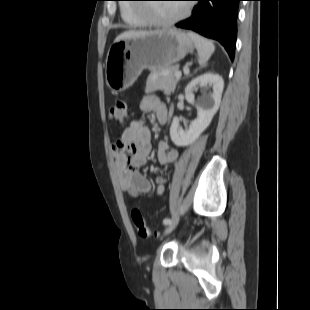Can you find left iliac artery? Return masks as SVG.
Listing matches in <instances>:
<instances>
[{
    "label": "left iliac artery",
    "mask_w": 310,
    "mask_h": 310,
    "mask_svg": "<svg viewBox=\"0 0 310 310\" xmlns=\"http://www.w3.org/2000/svg\"><path fill=\"white\" fill-rule=\"evenodd\" d=\"M163 223H164L165 225H168V224L171 223V219H170V218H165V219L163 220Z\"/></svg>",
    "instance_id": "obj_1"
}]
</instances>
